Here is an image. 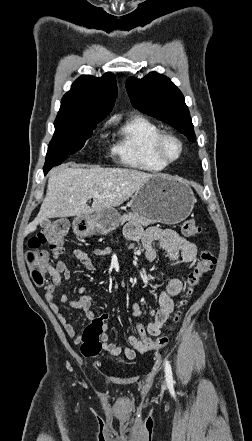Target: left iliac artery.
Instances as JSON below:
<instances>
[{
    "label": "left iliac artery",
    "mask_w": 252,
    "mask_h": 441,
    "mask_svg": "<svg viewBox=\"0 0 252 441\" xmlns=\"http://www.w3.org/2000/svg\"><path fill=\"white\" fill-rule=\"evenodd\" d=\"M165 377L167 384H173L172 369L169 361L165 360Z\"/></svg>",
    "instance_id": "left-iliac-artery-1"
}]
</instances>
